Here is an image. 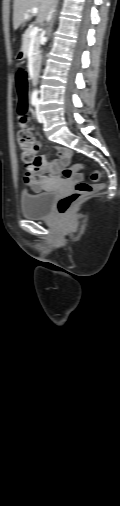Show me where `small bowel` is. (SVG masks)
Masks as SVG:
<instances>
[{"label":"small bowel","instance_id":"c3829d8e","mask_svg":"<svg viewBox=\"0 0 120 506\" xmlns=\"http://www.w3.org/2000/svg\"><path fill=\"white\" fill-rule=\"evenodd\" d=\"M37 146L40 143L37 142ZM57 160L48 162L44 157H39V167L24 177V183L33 191L39 192L43 190L47 183L59 177L60 171L63 167L68 165L72 156V151L65 147L55 148Z\"/></svg>","mask_w":120,"mask_h":506}]
</instances>
